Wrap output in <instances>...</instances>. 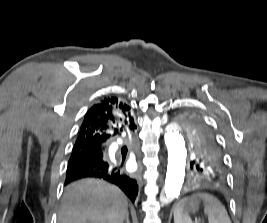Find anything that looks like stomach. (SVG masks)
Listing matches in <instances>:
<instances>
[{
    "label": "stomach",
    "instance_id": "obj_1",
    "mask_svg": "<svg viewBox=\"0 0 267 223\" xmlns=\"http://www.w3.org/2000/svg\"><path fill=\"white\" fill-rule=\"evenodd\" d=\"M199 207V201L196 198H192L186 203L185 210L186 212H195L198 210Z\"/></svg>",
    "mask_w": 267,
    "mask_h": 223
}]
</instances>
